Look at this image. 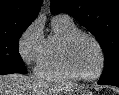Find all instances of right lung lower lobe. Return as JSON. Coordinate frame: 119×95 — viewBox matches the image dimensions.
Returning a JSON list of instances; mask_svg holds the SVG:
<instances>
[{
    "label": "right lung lower lobe",
    "mask_w": 119,
    "mask_h": 95,
    "mask_svg": "<svg viewBox=\"0 0 119 95\" xmlns=\"http://www.w3.org/2000/svg\"><path fill=\"white\" fill-rule=\"evenodd\" d=\"M13 72L11 71H6V70H0V75H4V74H11Z\"/></svg>",
    "instance_id": "1"
}]
</instances>
